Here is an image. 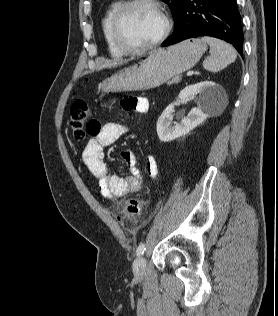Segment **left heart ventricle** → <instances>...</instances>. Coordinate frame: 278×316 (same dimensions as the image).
<instances>
[{
	"mask_svg": "<svg viewBox=\"0 0 278 316\" xmlns=\"http://www.w3.org/2000/svg\"><path fill=\"white\" fill-rule=\"evenodd\" d=\"M162 28L163 22L159 13L147 4L131 8L121 23L123 39L132 47L151 43L160 35Z\"/></svg>",
	"mask_w": 278,
	"mask_h": 316,
	"instance_id": "1",
	"label": "left heart ventricle"
}]
</instances>
